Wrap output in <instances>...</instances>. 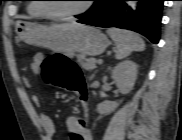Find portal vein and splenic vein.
<instances>
[{"label": "portal vein and splenic vein", "instance_id": "1", "mask_svg": "<svg viewBox=\"0 0 182 140\" xmlns=\"http://www.w3.org/2000/svg\"><path fill=\"white\" fill-rule=\"evenodd\" d=\"M102 62H103L102 59H98V60H97V63H98V64H101Z\"/></svg>", "mask_w": 182, "mask_h": 140}]
</instances>
